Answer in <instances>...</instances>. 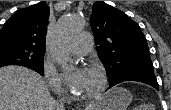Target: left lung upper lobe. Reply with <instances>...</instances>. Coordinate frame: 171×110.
Masks as SVG:
<instances>
[{
  "mask_svg": "<svg viewBox=\"0 0 171 110\" xmlns=\"http://www.w3.org/2000/svg\"><path fill=\"white\" fill-rule=\"evenodd\" d=\"M92 10L90 24L96 50L109 83L134 76L155 77L148 44L139 25L104 1H96Z\"/></svg>",
  "mask_w": 171,
  "mask_h": 110,
  "instance_id": "obj_1",
  "label": "left lung upper lobe"
}]
</instances>
